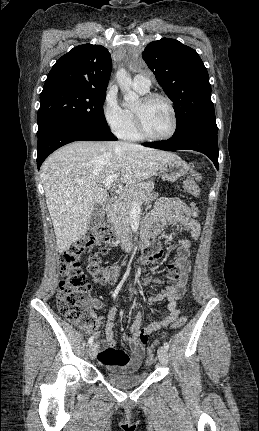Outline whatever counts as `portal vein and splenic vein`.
<instances>
[{"mask_svg": "<svg viewBox=\"0 0 259 431\" xmlns=\"http://www.w3.org/2000/svg\"><path fill=\"white\" fill-rule=\"evenodd\" d=\"M119 177V173H115L109 177H107L104 181H103V186L104 187H109L115 180H117Z\"/></svg>", "mask_w": 259, "mask_h": 431, "instance_id": "18ae733b", "label": "portal vein and splenic vein"}]
</instances>
